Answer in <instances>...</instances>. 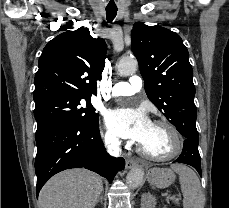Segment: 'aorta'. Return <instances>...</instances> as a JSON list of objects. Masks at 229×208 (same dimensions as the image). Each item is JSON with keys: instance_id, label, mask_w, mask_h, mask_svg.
<instances>
[{"instance_id": "obj_1", "label": "aorta", "mask_w": 229, "mask_h": 208, "mask_svg": "<svg viewBox=\"0 0 229 208\" xmlns=\"http://www.w3.org/2000/svg\"><path fill=\"white\" fill-rule=\"evenodd\" d=\"M137 69V61L132 58H123L117 65V70L120 75L129 76L135 73ZM144 179V172L140 168L132 169L127 177L126 183L131 189H136L140 186Z\"/></svg>"}]
</instances>
